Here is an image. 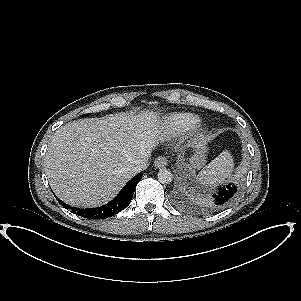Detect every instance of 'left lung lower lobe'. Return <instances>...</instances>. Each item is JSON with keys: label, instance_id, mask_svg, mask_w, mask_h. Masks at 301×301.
I'll return each instance as SVG.
<instances>
[{"label": "left lung lower lobe", "instance_id": "left-lung-lower-lobe-1", "mask_svg": "<svg viewBox=\"0 0 301 301\" xmlns=\"http://www.w3.org/2000/svg\"><path fill=\"white\" fill-rule=\"evenodd\" d=\"M237 187L235 185H228L218 189V192L210 195L208 198L191 199L195 204L203 206L205 209H220L228 205L236 196Z\"/></svg>", "mask_w": 301, "mask_h": 301}]
</instances>
